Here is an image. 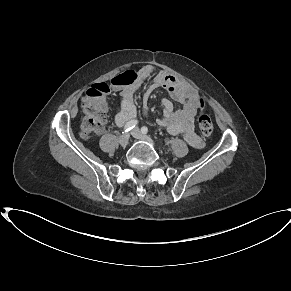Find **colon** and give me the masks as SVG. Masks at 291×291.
Listing matches in <instances>:
<instances>
[{"mask_svg":"<svg viewBox=\"0 0 291 291\" xmlns=\"http://www.w3.org/2000/svg\"><path fill=\"white\" fill-rule=\"evenodd\" d=\"M134 76L117 77L113 80L114 87L129 85L133 82ZM110 92V86L106 83H98L90 87L84 95L83 111L84 117L81 123V135L89 138L92 135L99 134L103 131L106 122V102L105 96ZM197 104L200 113L197 119L198 128L203 135H210L213 131V122L206 113V101L203 97H197Z\"/></svg>","mask_w":291,"mask_h":291,"instance_id":"5ec220e1","label":"colon"}]
</instances>
